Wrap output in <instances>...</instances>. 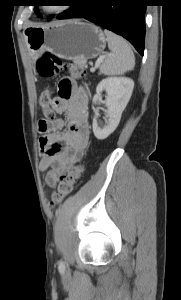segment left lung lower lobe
<instances>
[{"instance_id": "0a47b994", "label": "left lung lower lobe", "mask_w": 181, "mask_h": 300, "mask_svg": "<svg viewBox=\"0 0 181 300\" xmlns=\"http://www.w3.org/2000/svg\"><path fill=\"white\" fill-rule=\"evenodd\" d=\"M143 0H79L58 19L85 18L127 39L143 56L145 42Z\"/></svg>"}]
</instances>
